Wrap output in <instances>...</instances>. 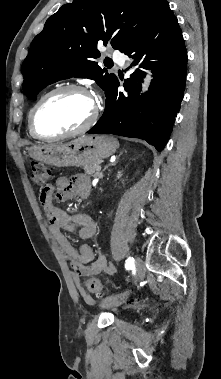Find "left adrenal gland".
<instances>
[{
    "instance_id": "1",
    "label": "left adrenal gland",
    "mask_w": 221,
    "mask_h": 379,
    "mask_svg": "<svg viewBox=\"0 0 221 379\" xmlns=\"http://www.w3.org/2000/svg\"><path fill=\"white\" fill-rule=\"evenodd\" d=\"M122 154H123V152H121L119 156H121ZM115 163H117V161H116ZM115 163H113V164H115ZM108 166H110V165H107V166L104 168V170H105L106 168H108Z\"/></svg>"
}]
</instances>
